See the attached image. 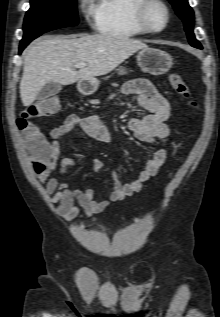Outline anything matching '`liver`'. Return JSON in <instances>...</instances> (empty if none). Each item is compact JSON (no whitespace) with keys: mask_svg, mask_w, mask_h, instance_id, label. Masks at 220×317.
I'll list each match as a JSON object with an SVG mask.
<instances>
[{"mask_svg":"<svg viewBox=\"0 0 220 317\" xmlns=\"http://www.w3.org/2000/svg\"><path fill=\"white\" fill-rule=\"evenodd\" d=\"M144 48L147 45L139 40L113 35L40 39L28 47L24 58L21 101L31 105L48 82L70 85L105 75ZM78 63L87 66L76 71Z\"/></svg>","mask_w":220,"mask_h":317,"instance_id":"1","label":"liver"}]
</instances>
